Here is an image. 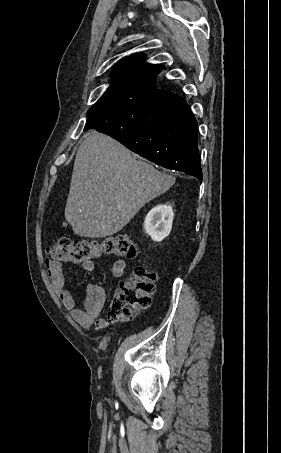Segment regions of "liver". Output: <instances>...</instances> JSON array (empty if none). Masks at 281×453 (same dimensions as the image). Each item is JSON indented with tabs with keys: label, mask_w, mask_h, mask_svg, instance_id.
Instances as JSON below:
<instances>
[{
	"label": "liver",
	"mask_w": 281,
	"mask_h": 453,
	"mask_svg": "<svg viewBox=\"0 0 281 453\" xmlns=\"http://www.w3.org/2000/svg\"><path fill=\"white\" fill-rule=\"evenodd\" d=\"M174 182L118 140L91 130L75 156L65 218L78 237H110Z\"/></svg>",
	"instance_id": "obj_1"
}]
</instances>
